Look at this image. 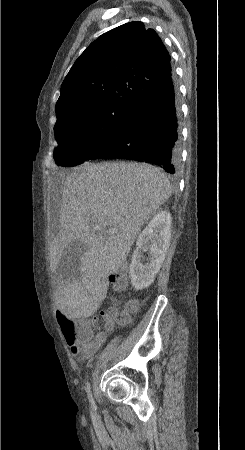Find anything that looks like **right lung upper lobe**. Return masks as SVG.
<instances>
[{"label": "right lung upper lobe", "mask_w": 245, "mask_h": 450, "mask_svg": "<svg viewBox=\"0 0 245 450\" xmlns=\"http://www.w3.org/2000/svg\"><path fill=\"white\" fill-rule=\"evenodd\" d=\"M172 75L170 56L153 29L135 21L96 39L65 77L56 115L106 104L134 107Z\"/></svg>", "instance_id": "obj_1"}]
</instances>
